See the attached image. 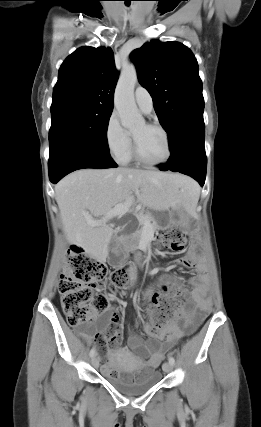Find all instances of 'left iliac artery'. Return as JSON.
<instances>
[{
  "label": "left iliac artery",
  "mask_w": 261,
  "mask_h": 427,
  "mask_svg": "<svg viewBox=\"0 0 261 427\" xmlns=\"http://www.w3.org/2000/svg\"><path fill=\"white\" fill-rule=\"evenodd\" d=\"M169 363H171L172 365L175 364V359L173 357H169Z\"/></svg>",
  "instance_id": "1"
}]
</instances>
